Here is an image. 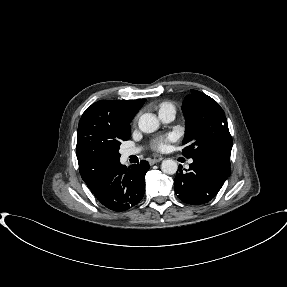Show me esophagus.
Listing matches in <instances>:
<instances>
[{"label": "esophagus", "mask_w": 287, "mask_h": 287, "mask_svg": "<svg viewBox=\"0 0 287 287\" xmlns=\"http://www.w3.org/2000/svg\"><path fill=\"white\" fill-rule=\"evenodd\" d=\"M162 159H163V157L152 158L149 160V164L150 165L156 164V163L160 162Z\"/></svg>", "instance_id": "1"}]
</instances>
